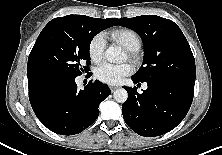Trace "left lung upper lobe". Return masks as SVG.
<instances>
[{
    "label": "left lung upper lobe",
    "instance_id": "5c2ea615",
    "mask_svg": "<svg viewBox=\"0 0 222 155\" xmlns=\"http://www.w3.org/2000/svg\"><path fill=\"white\" fill-rule=\"evenodd\" d=\"M120 26L134 30L142 38L145 55L132 76L141 82L172 80L194 87L195 60L180 28L156 15L117 19Z\"/></svg>",
    "mask_w": 222,
    "mask_h": 155
}]
</instances>
